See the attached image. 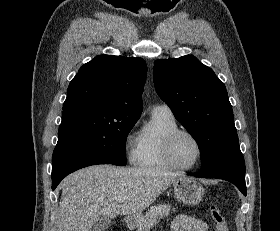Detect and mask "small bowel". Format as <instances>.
<instances>
[{"label": "small bowel", "mask_w": 280, "mask_h": 231, "mask_svg": "<svg viewBox=\"0 0 280 231\" xmlns=\"http://www.w3.org/2000/svg\"><path fill=\"white\" fill-rule=\"evenodd\" d=\"M172 231H207L205 221L187 215L177 216L171 225Z\"/></svg>", "instance_id": "small-bowel-1"}]
</instances>
